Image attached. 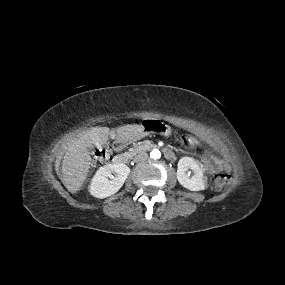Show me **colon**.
I'll list each match as a JSON object with an SVG mask.
<instances>
[{
	"instance_id": "5ec220e1",
	"label": "colon",
	"mask_w": 285,
	"mask_h": 285,
	"mask_svg": "<svg viewBox=\"0 0 285 285\" xmlns=\"http://www.w3.org/2000/svg\"><path fill=\"white\" fill-rule=\"evenodd\" d=\"M180 140L185 143V145L188 148H195L198 145V140L193 137L188 132H183L180 135ZM110 160V154L106 151H99L97 156V162L98 163H106ZM231 181V177L227 173H221L218 176H216L214 181V188L216 190H221L224 187H226Z\"/></svg>"
}]
</instances>
